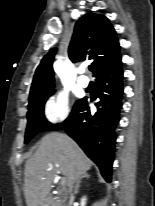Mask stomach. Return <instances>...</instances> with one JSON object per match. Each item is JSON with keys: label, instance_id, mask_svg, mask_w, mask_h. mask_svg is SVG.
Segmentation results:
<instances>
[{"label": "stomach", "instance_id": "obj_1", "mask_svg": "<svg viewBox=\"0 0 155 206\" xmlns=\"http://www.w3.org/2000/svg\"><path fill=\"white\" fill-rule=\"evenodd\" d=\"M40 206H49V204L44 201Z\"/></svg>", "mask_w": 155, "mask_h": 206}]
</instances>
